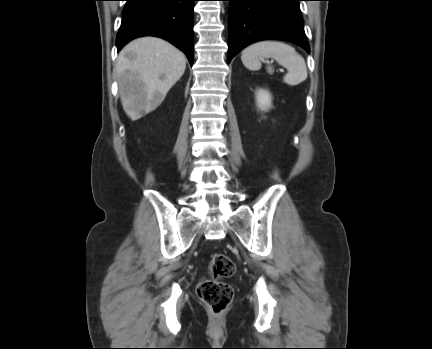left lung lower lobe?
Here are the masks:
<instances>
[{"label": "left lung lower lobe", "mask_w": 432, "mask_h": 349, "mask_svg": "<svg viewBox=\"0 0 432 349\" xmlns=\"http://www.w3.org/2000/svg\"><path fill=\"white\" fill-rule=\"evenodd\" d=\"M230 1L228 62L251 43L277 39L310 51L300 15L301 0Z\"/></svg>", "instance_id": "left-lung-lower-lobe-1"}]
</instances>
